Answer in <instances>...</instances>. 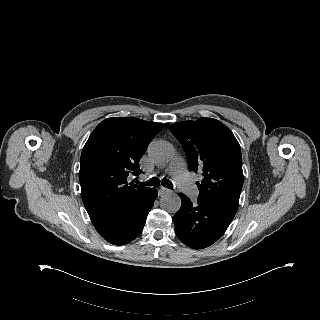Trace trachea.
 I'll return each mask as SVG.
<instances>
[{
	"instance_id": "trachea-1",
	"label": "trachea",
	"mask_w": 320,
	"mask_h": 320,
	"mask_svg": "<svg viewBox=\"0 0 320 320\" xmlns=\"http://www.w3.org/2000/svg\"><path fill=\"white\" fill-rule=\"evenodd\" d=\"M142 185H148V186H158L160 184V180L156 177L151 178L150 180H147L145 182H141ZM162 186L173 189V183L169 180L164 178L161 181Z\"/></svg>"
}]
</instances>
